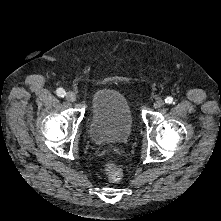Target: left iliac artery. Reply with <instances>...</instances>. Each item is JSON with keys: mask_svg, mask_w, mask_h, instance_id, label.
Returning a JSON list of instances; mask_svg holds the SVG:
<instances>
[{"mask_svg": "<svg viewBox=\"0 0 221 221\" xmlns=\"http://www.w3.org/2000/svg\"><path fill=\"white\" fill-rule=\"evenodd\" d=\"M172 102H173V98L170 96L165 99V103L167 104H171Z\"/></svg>", "mask_w": 221, "mask_h": 221, "instance_id": "obj_1", "label": "left iliac artery"}]
</instances>
